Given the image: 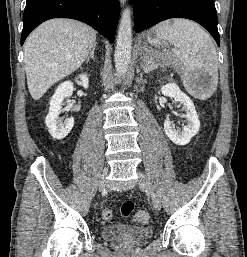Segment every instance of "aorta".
<instances>
[{
	"instance_id": "1",
	"label": "aorta",
	"mask_w": 247,
	"mask_h": 257,
	"mask_svg": "<svg viewBox=\"0 0 247 257\" xmlns=\"http://www.w3.org/2000/svg\"><path fill=\"white\" fill-rule=\"evenodd\" d=\"M132 51V20L131 10L126 8L121 15L115 47V69L118 75L127 72Z\"/></svg>"
}]
</instances>
